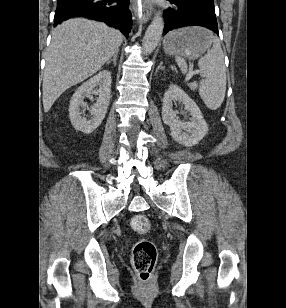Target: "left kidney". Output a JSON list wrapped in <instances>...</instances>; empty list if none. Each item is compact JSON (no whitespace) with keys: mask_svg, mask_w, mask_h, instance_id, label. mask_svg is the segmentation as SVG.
<instances>
[{"mask_svg":"<svg viewBox=\"0 0 286 308\" xmlns=\"http://www.w3.org/2000/svg\"><path fill=\"white\" fill-rule=\"evenodd\" d=\"M181 102L190 112L188 122H182L173 110V104ZM162 119L170 126L172 138L181 145L191 147L198 144L208 133V125L197 104L178 86L171 85L162 100Z\"/></svg>","mask_w":286,"mask_h":308,"instance_id":"5707ae66","label":"left kidney"}]
</instances>
